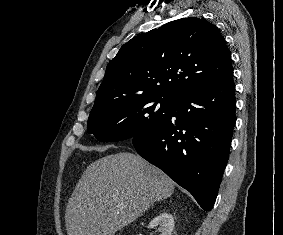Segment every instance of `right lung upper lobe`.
Masks as SVG:
<instances>
[{"label": "right lung upper lobe", "mask_w": 283, "mask_h": 235, "mask_svg": "<svg viewBox=\"0 0 283 235\" xmlns=\"http://www.w3.org/2000/svg\"><path fill=\"white\" fill-rule=\"evenodd\" d=\"M233 73L218 28L195 17L135 36L109 62L94 106L144 96L175 98Z\"/></svg>", "instance_id": "1"}]
</instances>
